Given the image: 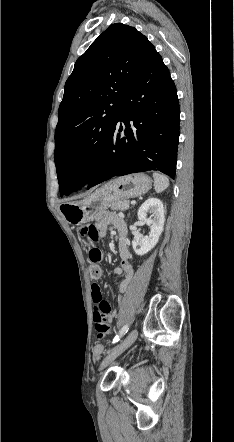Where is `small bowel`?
Here are the masks:
<instances>
[{"mask_svg":"<svg viewBox=\"0 0 234 442\" xmlns=\"http://www.w3.org/2000/svg\"><path fill=\"white\" fill-rule=\"evenodd\" d=\"M109 226H113L119 234L120 244H119V257L121 259L118 267L114 269V272L122 277L119 284L120 295L118 296V302H121L123 297L122 294L127 290V287L131 281L133 275L132 266L129 263L130 251L127 247L126 236H127V227L124 219L110 212H101L96 217V229L98 232V238L104 237L106 234V230ZM97 284L92 285V290ZM99 287V286H98ZM117 316L116 310H111L107 314H94L92 317L93 326L97 328V337L102 339L104 334L111 328V325L108 322H112Z\"/></svg>","mask_w":234,"mask_h":442,"instance_id":"small-bowel-1","label":"small bowel"}]
</instances>
